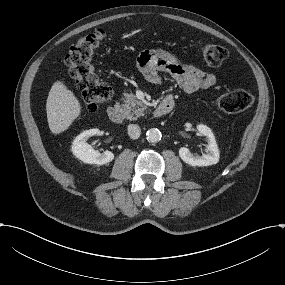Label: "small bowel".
<instances>
[{"mask_svg":"<svg viewBox=\"0 0 285 285\" xmlns=\"http://www.w3.org/2000/svg\"><path fill=\"white\" fill-rule=\"evenodd\" d=\"M138 67L145 79L153 84L161 82V72L168 73L187 93L208 89L217 82L215 75L187 64L175 54L163 49L143 52L138 58Z\"/></svg>","mask_w":285,"mask_h":285,"instance_id":"1","label":"small bowel"}]
</instances>
